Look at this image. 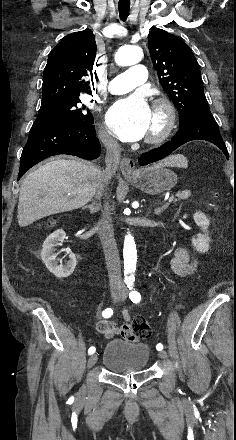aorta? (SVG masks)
<instances>
[{"label":"aorta","mask_w":236,"mask_h":440,"mask_svg":"<svg viewBox=\"0 0 236 440\" xmlns=\"http://www.w3.org/2000/svg\"><path fill=\"white\" fill-rule=\"evenodd\" d=\"M143 58V51L138 46L121 47L115 54V62L119 66H129L139 63ZM124 273L127 280L134 277L137 264V250L134 237L128 233L125 236L124 248Z\"/></svg>","instance_id":"obj_1"}]
</instances>
